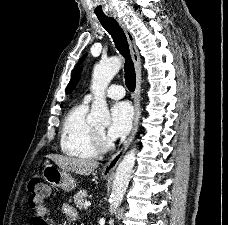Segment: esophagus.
<instances>
[{"mask_svg":"<svg viewBox=\"0 0 228 225\" xmlns=\"http://www.w3.org/2000/svg\"><path fill=\"white\" fill-rule=\"evenodd\" d=\"M113 16L126 35L130 53L132 55V60L134 62L135 73H136V87H135V93L133 95L135 118L133 121L131 133L127 138V140L124 142L122 148L119 150V152L115 153V155H113L110 158L109 162H107L106 165H104L102 170V175L104 178H111L114 175V172L118 163L120 162L122 156L130 146V144L132 143V140H134L136 136L139 119H140L141 58H140L139 50L135 43L134 36L128 30L126 24L118 16L116 15H113Z\"/></svg>","mask_w":228,"mask_h":225,"instance_id":"1","label":"esophagus"}]
</instances>
